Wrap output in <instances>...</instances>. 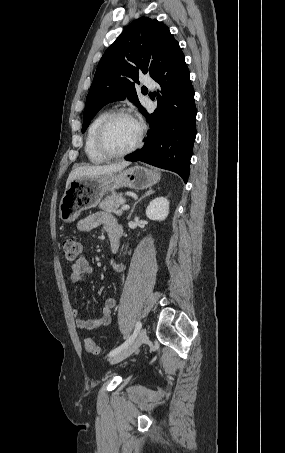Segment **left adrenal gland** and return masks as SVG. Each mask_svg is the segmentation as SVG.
<instances>
[{
    "mask_svg": "<svg viewBox=\"0 0 285 453\" xmlns=\"http://www.w3.org/2000/svg\"><path fill=\"white\" fill-rule=\"evenodd\" d=\"M154 192H155L154 190H148L147 192H145V194H144L143 196H141V197L134 203V205H133V207H132V209H131V211H130L128 217H127L128 220H130V218H131V216H132V214H133V212H134V210H135L136 205H137L139 202H141L145 197L150 196V195L153 194Z\"/></svg>",
    "mask_w": 285,
    "mask_h": 453,
    "instance_id": "1",
    "label": "left adrenal gland"
}]
</instances>
